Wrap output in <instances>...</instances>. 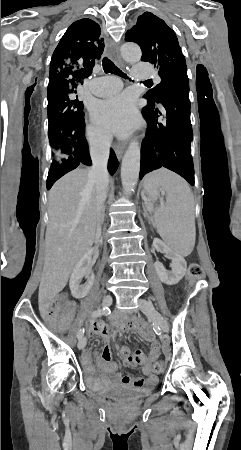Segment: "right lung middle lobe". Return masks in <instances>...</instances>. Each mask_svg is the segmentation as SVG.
Instances as JSON below:
<instances>
[{
	"mask_svg": "<svg viewBox=\"0 0 241 450\" xmlns=\"http://www.w3.org/2000/svg\"><path fill=\"white\" fill-rule=\"evenodd\" d=\"M77 91H69L60 97L48 99V134L52 148V160L73 155V148L61 129L84 122L83 102Z\"/></svg>",
	"mask_w": 241,
	"mask_h": 450,
	"instance_id": "1",
	"label": "right lung middle lobe"
}]
</instances>
